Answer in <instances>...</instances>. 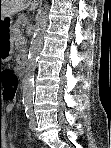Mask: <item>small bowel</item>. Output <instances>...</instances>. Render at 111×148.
<instances>
[{
    "mask_svg": "<svg viewBox=\"0 0 111 148\" xmlns=\"http://www.w3.org/2000/svg\"><path fill=\"white\" fill-rule=\"evenodd\" d=\"M13 109H14V104H9V105L6 107V110H7L8 112H11ZM27 136L29 137V133L27 134ZM12 137H13V135L10 134V135H9V138L12 139ZM10 147H11V148H14L13 145H11Z\"/></svg>",
    "mask_w": 111,
    "mask_h": 148,
    "instance_id": "obj_1",
    "label": "small bowel"
}]
</instances>
